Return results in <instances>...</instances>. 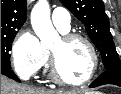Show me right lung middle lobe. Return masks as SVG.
<instances>
[{
    "mask_svg": "<svg viewBox=\"0 0 121 94\" xmlns=\"http://www.w3.org/2000/svg\"><path fill=\"white\" fill-rule=\"evenodd\" d=\"M16 34L17 31L1 34V68L11 69L9 51Z\"/></svg>",
    "mask_w": 121,
    "mask_h": 94,
    "instance_id": "right-lung-middle-lobe-1",
    "label": "right lung middle lobe"
}]
</instances>
